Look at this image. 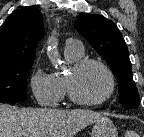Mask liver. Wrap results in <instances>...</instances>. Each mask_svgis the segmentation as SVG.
<instances>
[{"mask_svg": "<svg viewBox=\"0 0 144 137\" xmlns=\"http://www.w3.org/2000/svg\"><path fill=\"white\" fill-rule=\"evenodd\" d=\"M102 118L87 109H20L0 104V137H74Z\"/></svg>", "mask_w": 144, "mask_h": 137, "instance_id": "liver-1", "label": "liver"}]
</instances>
